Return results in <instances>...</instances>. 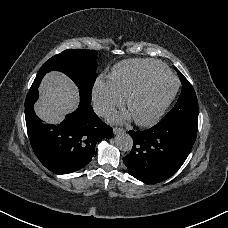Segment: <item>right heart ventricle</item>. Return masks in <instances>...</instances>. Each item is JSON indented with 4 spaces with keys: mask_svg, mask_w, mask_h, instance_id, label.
Returning <instances> with one entry per match:
<instances>
[{
    "mask_svg": "<svg viewBox=\"0 0 228 228\" xmlns=\"http://www.w3.org/2000/svg\"><path fill=\"white\" fill-rule=\"evenodd\" d=\"M167 67L154 61H126L114 67L110 81L123 98L150 77L166 75Z\"/></svg>",
    "mask_w": 228,
    "mask_h": 228,
    "instance_id": "1",
    "label": "right heart ventricle"
}]
</instances>
